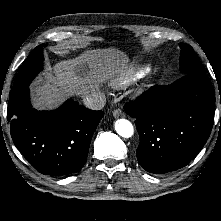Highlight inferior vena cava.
Instances as JSON below:
<instances>
[{"mask_svg":"<svg viewBox=\"0 0 221 221\" xmlns=\"http://www.w3.org/2000/svg\"><path fill=\"white\" fill-rule=\"evenodd\" d=\"M83 102L87 108L100 110L105 106L106 98L100 92H92L83 97Z\"/></svg>","mask_w":221,"mask_h":221,"instance_id":"1","label":"inferior vena cava"}]
</instances>
